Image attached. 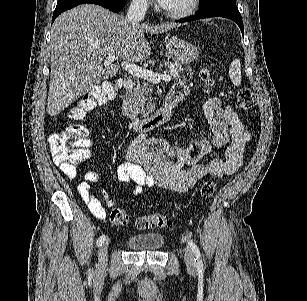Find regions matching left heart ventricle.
<instances>
[{
	"mask_svg": "<svg viewBox=\"0 0 307 301\" xmlns=\"http://www.w3.org/2000/svg\"><path fill=\"white\" fill-rule=\"evenodd\" d=\"M191 0H169L170 5L177 7H185ZM181 2V4H179Z\"/></svg>",
	"mask_w": 307,
	"mask_h": 301,
	"instance_id": "obj_1",
	"label": "left heart ventricle"
}]
</instances>
